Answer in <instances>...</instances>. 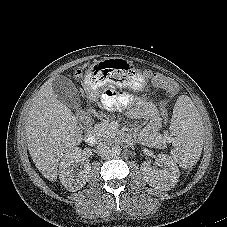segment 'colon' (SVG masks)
I'll return each instance as SVG.
<instances>
[{
    "label": "colon",
    "mask_w": 227,
    "mask_h": 227,
    "mask_svg": "<svg viewBox=\"0 0 227 227\" xmlns=\"http://www.w3.org/2000/svg\"><path fill=\"white\" fill-rule=\"evenodd\" d=\"M147 75L150 76L157 85L163 86L172 94L176 93L178 85L174 80L167 78L159 73L153 74L148 72ZM82 76L83 72L79 71L78 77ZM171 103L172 96L170 94H165L163 96V101L161 102V113L163 114V124L165 126H170L172 124V111L170 110ZM78 118L81 122H87L88 121L87 112L83 110L79 111Z\"/></svg>",
    "instance_id": "5ec220e1"
}]
</instances>
